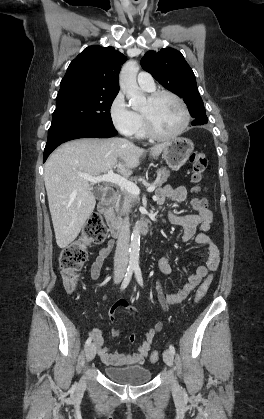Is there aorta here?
Instances as JSON below:
<instances>
[{"instance_id": "1", "label": "aorta", "mask_w": 264, "mask_h": 419, "mask_svg": "<svg viewBox=\"0 0 264 419\" xmlns=\"http://www.w3.org/2000/svg\"><path fill=\"white\" fill-rule=\"evenodd\" d=\"M139 67L136 61L130 60L126 62L120 72L119 84L123 93L129 99L131 107L134 110L139 109L146 103V97L139 91L136 77ZM139 251H140V231L136 225L133 228L130 243L129 266L131 268L139 267Z\"/></svg>"}]
</instances>
